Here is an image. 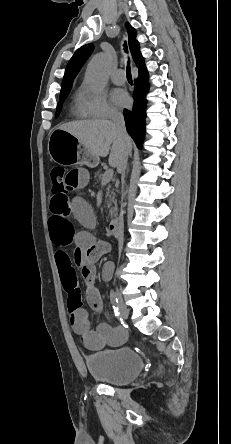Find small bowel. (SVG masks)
<instances>
[{"mask_svg":"<svg viewBox=\"0 0 231 444\" xmlns=\"http://www.w3.org/2000/svg\"><path fill=\"white\" fill-rule=\"evenodd\" d=\"M90 179L87 169L73 168L66 174L69 191L84 188ZM51 216L49 231L52 242L56 245V264L61 282L68 295L70 324L74 332L81 337L82 343L89 350H101L105 346H119L126 341L127 332L123 328H113L106 323L91 327L88 311L84 307L77 284L75 265L81 270L87 284L86 299L95 310L102 309V298L94 285V264L104 255L109 247L98 242L89 231H75L70 216L86 226H92L95 216L90 204L80 195L72 198H53L50 202ZM72 247L71 251L69 248ZM112 265L103 266L102 275L109 279Z\"/></svg>","mask_w":231,"mask_h":444,"instance_id":"1","label":"small bowel"}]
</instances>
